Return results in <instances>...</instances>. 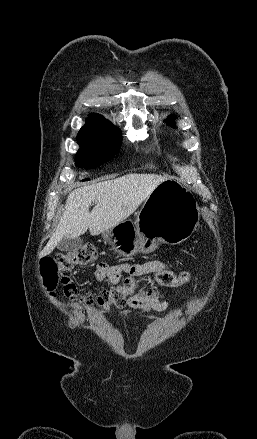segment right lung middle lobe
Segmentation results:
<instances>
[{"label":"right lung middle lobe","instance_id":"1","mask_svg":"<svg viewBox=\"0 0 257 439\" xmlns=\"http://www.w3.org/2000/svg\"><path fill=\"white\" fill-rule=\"evenodd\" d=\"M77 141L80 150L76 165L86 168L107 162L117 154L122 137L121 131L112 123L87 120L78 133Z\"/></svg>","mask_w":257,"mask_h":439}]
</instances>
